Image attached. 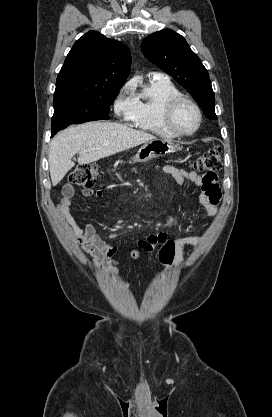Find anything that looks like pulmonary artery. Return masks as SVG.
I'll use <instances>...</instances> for the list:
<instances>
[{
    "label": "pulmonary artery",
    "instance_id": "e3ab8cb5",
    "mask_svg": "<svg viewBox=\"0 0 272 417\" xmlns=\"http://www.w3.org/2000/svg\"><path fill=\"white\" fill-rule=\"evenodd\" d=\"M152 77H164V76L161 73L155 72L152 74Z\"/></svg>",
    "mask_w": 272,
    "mask_h": 417
}]
</instances>
